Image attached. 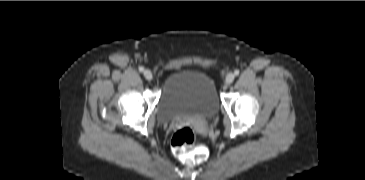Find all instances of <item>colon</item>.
<instances>
[{"instance_id": "obj_1", "label": "colon", "mask_w": 365, "mask_h": 180, "mask_svg": "<svg viewBox=\"0 0 365 180\" xmlns=\"http://www.w3.org/2000/svg\"><path fill=\"white\" fill-rule=\"evenodd\" d=\"M196 135L192 128L178 129L171 140V147L179 160L188 165H196L205 161L208 150L203 146H196Z\"/></svg>"}]
</instances>
